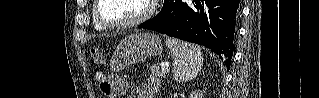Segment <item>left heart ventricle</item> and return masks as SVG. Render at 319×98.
I'll return each instance as SVG.
<instances>
[{
    "label": "left heart ventricle",
    "mask_w": 319,
    "mask_h": 98,
    "mask_svg": "<svg viewBox=\"0 0 319 98\" xmlns=\"http://www.w3.org/2000/svg\"><path fill=\"white\" fill-rule=\"evenodd\" d=\"M145 7V0H103L100 13L108 22H121L139 16Z\"/></svg>",
    "instance_id": "obj_1"
}]
</instances>
